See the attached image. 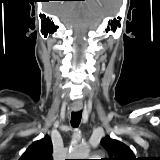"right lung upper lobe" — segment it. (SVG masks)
I'll use <instances>...</instances> for the list:
<instances>
[{
    "label": "right lung upper lobe",
    "mask_w": 160,
    "mask_h": 160,
    "mask_svg": "<svg viewBox=\"0 0 160 160\" xmlns=\"http://www.w3.org/2000/svg\"><path fill=\"white\" fill-rule=\"evenodd\" d=\"M52 151L51 139L46 136L32 143L19 160H52Z\"/></svg>",
    "instance_id": "cb5924a9"
}]
</instances>
